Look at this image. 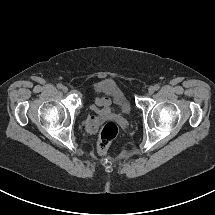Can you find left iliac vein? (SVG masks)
Wrapping results in <instances>:
<instances>
[{
    "label": "left iliac vein",
    "mask_w": 215,
    "mask_h": 215,
    "mask_svg": "<svg viewBox=\"0 0 215 215\" xmlns=\"http://www.w3.org/2000/svg\"><path fill=\"white\" fill-rule=\"evenodd\" d=\"M155 92V88L153 86L149 87L148 94L152 95Z\"/></svg>",
    "instance_id": "1"
}]
</instances>
